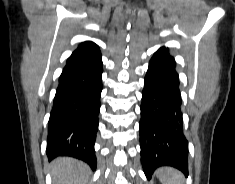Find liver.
<instances>
[{
  "mask_svg": "<svg viewBox=\"0 0 235 184\" xmlns=\"http://www.w3.org/2000/svg\"><path fill=\"white\" fill-rule=\"evenodd\" d=\"M53 184H88L89 168L73 158H56L51 164Z\"/></svg>",
  "mask_w": 235,
  "mask_h": 184,
  "instance_id": "6515ba94",
  "label": "liver"
}]
</instances>
